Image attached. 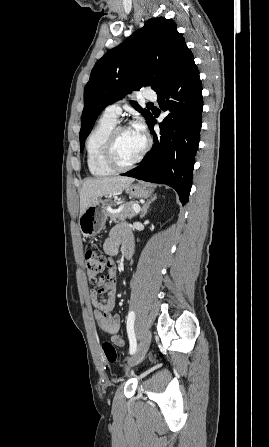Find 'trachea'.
Here are the masks:
<instances>
[{"instance_id": "obj_1", "label": "trachea", "mask_w": 269, "mask_h": 447, "mask_svg": "<svg viewBox=\"0 0 269 447\" xmlns=\"http://www.w3.org/2000/svg\"><path fill=\"white\" fill-rule=\"evenodd\" d=\"M147 105H154V104H152L151 102H149Z\"/></svg>"}]
</instances>
